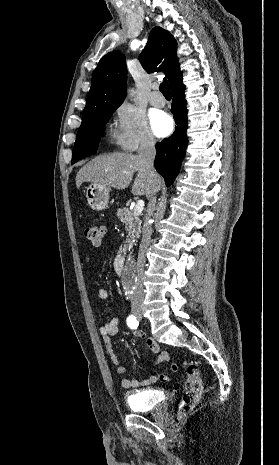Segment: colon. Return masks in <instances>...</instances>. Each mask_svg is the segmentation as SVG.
Listing matches in <instances>:
<instances>
[{
  "instance_id": "colon-1",
  "label": "colon",
  "mask_w": 279,
  "mask_h": 465,
  "mask_svg": "<svg viewBox=\"0 0 279 465\" xmlns=\"http://www.w3.org/2000/svg\"><path fill=\"white\" fill-rule=\"evenodd\" d=\"M105 229L101 225H91L86 228L85 236L94 245L100 246L103 242ZM178 365L173 363L171 371L176 372ZM160 380L167 382L169 374H161ZM202 395V379L199 373V367L195 363H190L186 368V382L183 397L179 406L178 414L180 417L185 416L200 400Z\"/></svg>"
}]
</instances>
